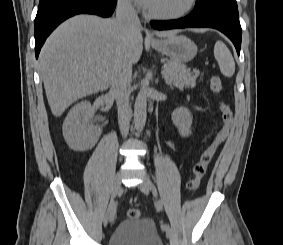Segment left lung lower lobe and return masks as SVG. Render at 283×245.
<instances>
[{
  "instance_id": "1",
  "label": "left lung lower lobe",
  "mask_w": 283,
  "mask_h": 245,
  "mask_svg": "<svg viewBox=\"0 0 283 245\" xmlns=\"http://www.w3.org/2000/svg\"><path fill=\"white\" fill-rule=\"evenodd\" d=\"M152 27L158 30L186 28V27H209L215 28L226 36L235 45L237 53H240L242 29L239 20L221 15H198L190 13L188 16L169 21H151Z\"/></svg>"
}]
</instances>
